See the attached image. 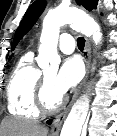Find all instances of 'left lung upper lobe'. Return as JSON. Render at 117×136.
I'll use <instances>...</instances> for the list:
<instances>
[{"label":"left lung upper lobe","instance_id":"1","mask_svg":"<svg viewBox=\"0 0 117 136\" xmlns=\"http://www.w3.org/2000/svg\"><path fill=\"white\" fill-rule=\"evenodd\" d=\"M78 5H83L85 9L91 11L96 8L98 0H76ZM44 0H36L26 11L19 28L15 33L11 49L13 50L19 40L31 29L45 8Z\"/></svg>","mask_w":117,"mask_h":136}]
</instances>
